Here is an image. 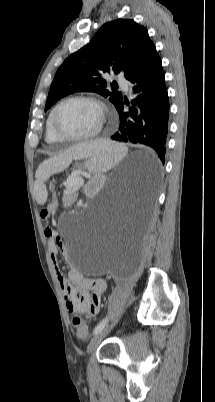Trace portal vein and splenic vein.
<instances>
[{
  "label": "portal vein and splenic vein",
  "mask_w": 215,
  "mask_h": 402,
  "mask_svg": "<svg viewBox=\"0 0 215 402\" xmlns=\"http://www.w3.org/2000/svg\"><path fill=\"white\" fill-rule=\"evenodd\" d=\"M77 183H78V186H80V185H83V184H84V181H83L82 179H78V180H77Z\"/></svg>",
  "instance_id": "1"
}]
</instances>
